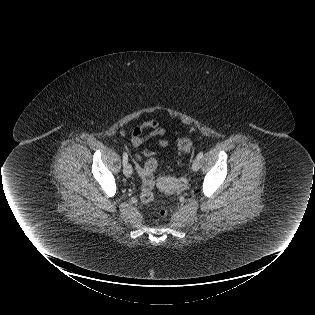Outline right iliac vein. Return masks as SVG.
I'll return each instance as SVG.
<instances>
[{
	"instance_id": "right-iliac-vein-1",
	"label": "right iliac vein",
	"mask_w": 315,
	"mask_h": 315,
	"mask_svg": "<svg viewBox=\"0 0 315 315\" xmlns=\"http://www.w3.org/2000/svg\"><path fill=\"white\" fill-rule=\"evenodd\" d=\"M123 172L125 174V176L130 177L132 175V167L130 164H125Z\"/></svg>"
}]
</instances>
